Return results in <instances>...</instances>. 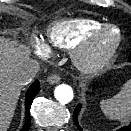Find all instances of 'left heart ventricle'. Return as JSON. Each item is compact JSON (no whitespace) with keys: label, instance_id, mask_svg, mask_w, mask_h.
<instances>
[{"label":"left heart ventricle","instance_id":"obj_1","mask_svg":"<svg viewBox=\"0 0 131 131\" xmlns=\"http://www.w3.org/2000/svg\"><path fill=\"white\" fill-rule=\"evenodd\" d=\"M116 36L117 34L115 30H109L105 32L98 41L97 51L101 53L109 49L114 43Z\"/></svg>","mask_w":131,"mask_h":131}]
</instances>
